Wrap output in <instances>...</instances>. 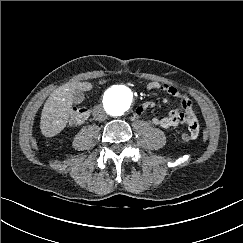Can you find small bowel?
Segmentation results:
<instances>
[{
  "label": "small bowel",
  "instance_id": "c3829d8e",
  "mask_svg": "<svg viewBox=\"0 0 243 243\" xmlns=\"http://www.w3.org/2000/svg\"><path fill=\"white\" fill-rule=\"evenodd\" d=\"M148 90H160L168 95H171L179 100L180 109L172 110L167 115L162 117H153L152 122L164 129H169L179 125H185L192 139H196L200 133V123L197 117L196 110L192 102L183 95L176 87L169 84H162L156 81H151L146 84ZM168 97H163V102H168ZM153 102H145L140 105L135 111V117L142 116L147 109L153 108Z\"/></svg>",
  "mask_w": 243,
  "mask_h": 243
}]
</instances>
